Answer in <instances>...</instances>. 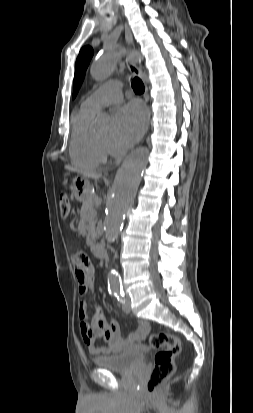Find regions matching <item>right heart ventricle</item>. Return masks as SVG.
I'll return each mask as SVG.
<instances>
[{"instance_id":"e07e8e85","label":"right heart ventricle","mask_w":253,"mask_h":413,"mask_svg":"<svg viewBox=\"0 0 253 413\" xmlns=\"http://www.w3.org/2000/svg\"><path fill=\"white\" fill-rule=\"evenodd\" d=\"M95 113L82 106L71 119L69 154L74 164L86 168H99L107 159L104 142L90 128Z\"/></svg>"}]
</instances>
